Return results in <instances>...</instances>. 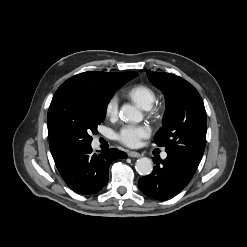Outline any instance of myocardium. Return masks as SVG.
<instances>
[{
    "mask_svg": "<svg viewBox=\"0 0 247 247\" xmlns=\"http://www.w3.org/2000/svg\"><path fill=\"white\" fill-rule=\"evenodd\" d=\"M159 112H160V108L159 107L154 108L153 111H152V116H154V117L157 116L159 114Z\"/></svg>",
    "mask_w": 247,
    "mask_h": 247,
    "instance_id": "myocardium-1",
    "label": "myocardium"
}]
</instances>
